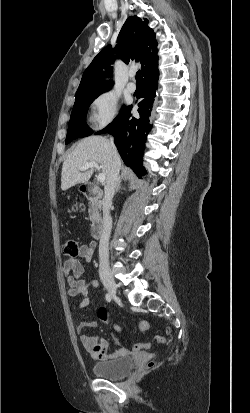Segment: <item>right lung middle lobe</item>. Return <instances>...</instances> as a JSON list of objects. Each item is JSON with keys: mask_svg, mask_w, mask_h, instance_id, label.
<instances>
[{"mask_svg": "<svg viewBox=\"0 0 250 413\" xmlns=\"http://www.w3.org/2000/svg\"><path fill=\"white\" fill-rule=\"evenodd\" d=\"M103 92L105 91L76 95L75 104L68 124L66 144L76 138L86 137L93 133L92 129L86 124V113L89 105Z\"/></svg>", "mask_w": 250, "mask_h": 413, "instance_id": "right-lung-middle-lobe-1", "label": "right lung middle lobe"}]
</instances>
